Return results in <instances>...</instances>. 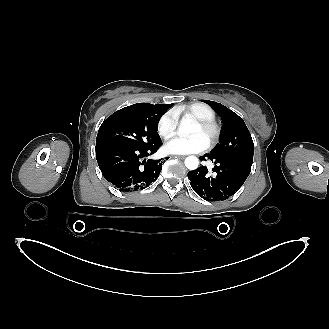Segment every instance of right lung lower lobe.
I'll use <instances>...</instances> for the list:
<instances>
[{
	"instance_id": "98d812e1",
	"label": "right lung lower lobe",
	"mask_w": 329,
	"mask_h": 329,
	"mask_svg": "<svg viewBox=\"0 0 329 329\" xmlns=\"http://www.w3.org/2000/svg\"><path fill=\"white\" fill-rule=\"evenodd\" d=\"M160 146L161 142L149 147L100 143L96 145V158L109 183L122 192H133L148 187L158 178L162 159L144 158L154 154Z\"/></svg>"
}]
</instances>
